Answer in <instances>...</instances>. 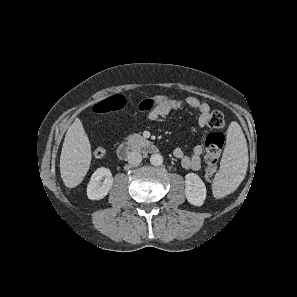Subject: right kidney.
Returning a JSON list of instances; mask_svg holds the SVG:
<instances>
[{
  "mask_svg": "<svg viewBox=\"0 0 297 297\" xmlns=\"http://www.w3.org/2000/svg\"><path fill=\"white\" fill-rule=\"evenodd\" d=\"M103 180V181H102ZM113 186V177L108 168H98L91 176L87 186V195L91 200L103 199Z\"/></svg>",
  "mask_w": 297,
  "mask_h": 297,
  "instance_id": "1",
  "label": "right kidney"
}]
</instances>
